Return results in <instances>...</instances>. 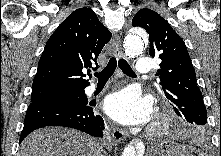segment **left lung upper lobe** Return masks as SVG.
I'll list each match as a JSON object with an SVG mask.
<instances>
[{
  "mask_svg": "<svg viewBox=\"0 0 221 156\" xmlns=\"http://www.w3.org/2000/svg\"><path fill=\"white\" fill-rule=\"evenodd\" d=\"M132 25L144 28L149 34V54L161 59L156 75L161 79L163 91L175 113L184 122L205 125L206 108L183 40L163 17L150 9L139 10Z\"/></svg>",
  "mask_w": 221,
  "mask_h": 156,
  "instance_id": "obj_1",
  "label": "left lung upper lobe"
}]
</instances>
